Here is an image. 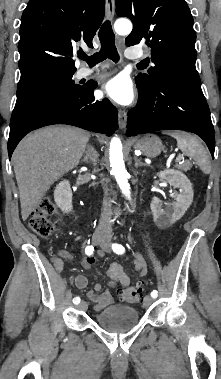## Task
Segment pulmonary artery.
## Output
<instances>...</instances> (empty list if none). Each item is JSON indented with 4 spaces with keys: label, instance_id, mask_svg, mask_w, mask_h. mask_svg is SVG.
Returning <instances> with one entry per match:
<instances>
[{
    "label": "pulmonary artery",
    "instance_id": "obj_1",
    "mask_svg": "<svg viewBox=\"0 0 221 379\" xmlns=\"http://www.w3.org/2000/svg\"><path fill=\"white\" fill-rule=\"evenodd\" d=\"M125 54L129 59H141L144 56L143 52L138 49H127ZM94 72L95 69L93 68L82 67L77 71V75L82 78L90 76Z\"/></svg>",
    "mask_w": 221,
    "mask_h": 379
}]
</instances>
